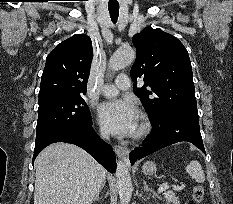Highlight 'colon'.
Returning a JSON list of instances; mask_svg holds the SVG:
<instances>
[{
    "label": "colon",
    "instance_id": "colon-1",
    "mask_svg": "<svg viewBox=\"0 0 233 204\" xmlns=\"http://www.w3.org/2000/svg\"><path fill=\"white\" fill-rule=\"evenodd\" d=\"M205 191L202 186L195 185L192 189L193 200L196 204H201L203 202Z\"/></svg>",
    "mask_w": 233,
    "mask_h": 204
}]
</instances>
